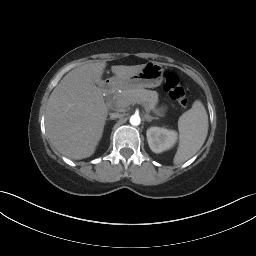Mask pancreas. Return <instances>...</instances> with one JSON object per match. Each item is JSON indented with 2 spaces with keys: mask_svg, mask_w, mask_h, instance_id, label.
<instances>
[{
  "mask_svg": "<svg viewBox=\"0 0 256 256\" xmlns=\"http://www.w3.org/2000/svg\"><path fill=\"white\" fill-rule=\"evenodd\" d=\"M143 104L149 110H154L158 104V93L143 88H128L115 93V104L119 108H126L132 104Z\"/></svg>",
  "mask_w": 256,
  "mask_h": 256,
  "instance_id": "cf45deb5",
  "label": "pancreas"
}]
</instances>
